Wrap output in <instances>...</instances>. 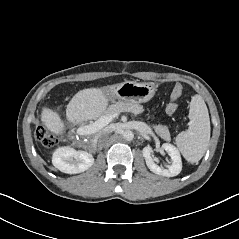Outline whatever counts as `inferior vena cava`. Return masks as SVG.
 I'll return each mask as SVG.
<instances>
[{"mask_svg": "<svg viewBox=\"0 0 239 239\" xmlns=\"http://www.w3.org/2000/svg\"><path fill=\"white\" fill-rule=\"evenodd\" d=\"M110 132H111L110 128H105L102 131H100L99 133H97L94 138V143H96L97 141H99V142L102 141Z\"/></svg>", "mask_w": 239, "mask_h": 239, "instance_id": "obj_1", "label": "inferior vena cava"}]
</instances>
